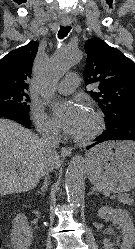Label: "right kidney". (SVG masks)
<instances>
[{
  "label": "right kidney",
  "mask_w": 135,
  "mask_h": 249,
  "mask_svg": "<svg viewBox=\"0 0 135 249\" xmlns=\"http://www.w3.org/2000/svg\"><path fill=\"white\" fill-rule=\"evenodd\" d=\"M12 223L11 243L14 249H29L33 231L28 224L27 217L24 214H18Z\"/></svg>",
  "instance_id": "obj_1"
}]
</instances>
